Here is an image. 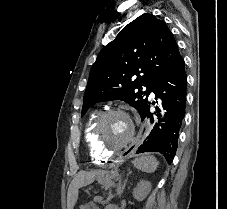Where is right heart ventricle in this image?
I'll use <instances>...</instances> for the list:
<instances>
[{
	"mask_svg": "<svg viewBox=\"0 0 227 209\" xmlns=\"http://www.w3.org/2000/svg\"><path fill=\"white\" fill-rule=\"evenodd\" d=\"M99 115H100V112H98V111L92 113L90 115L89 119L87 120V122L84 126V129H83V136H84L85 143L88 147L90 159L95 164L107 163L112 158V156L102 154L94 143L93 129H94L95 122ZM76 135H78V134H76Z\"/></svg>",
	"mask_w": 227,
	"mask_h": 209,
	"instance_id": "right-heart-ventricle-1",
	"label": "right heart ventricle"
}]
</instances>
